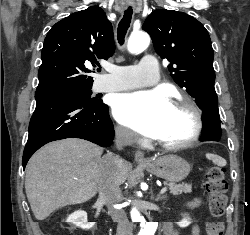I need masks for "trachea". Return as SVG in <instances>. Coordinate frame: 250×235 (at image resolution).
Listing matches in <instances>:
<instances>
[{"instance_id":"obj_1","label":"trachea","mask_w":250,"mask_h":235,"mask_svg":"<svg viewBox=\"0 0 250 235\" xmlns=\"http://www.w3.org/2000/svg\"><path fill=\"white\" fill-rule=\"evenodd\" d=\"M132 14H133L132 7H128L124 12L123 18L120 20L118 24L117 39L120 45L124 43L125 35L131 23ZM97 71L100 72L101 68H98Z\"/></svg>"}]
</instances>
